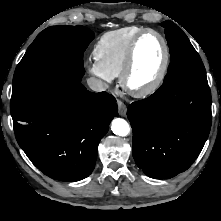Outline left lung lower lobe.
I'll return each instance as SVG.
<instances>
[{
  "label": "left lung lower lobe",
  "mask_w": 221,
  "mask_h": 221,
  "mask_svg": "<svg viewBox=\"0 0 221 221\" xmlns=\"http://www.w3.org/2000/svg\"><path fill=\"white\" fill-rule=\"evenodd\" d=\"M211 102L207 81L175 78L130 104L132 153L147 176L167 179L192 165L210 132Z\"/></svg>",
  "instance_id": "left-lung-lower-lobe-1"
}]
</instances>
